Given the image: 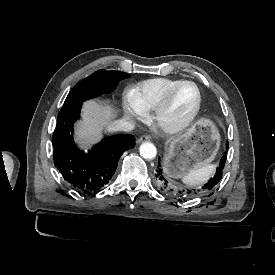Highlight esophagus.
<instances>
[{
    "instance_id": "esophagus-1",
    "label": "esophagus",
    "mask_w": 275,
    "mask_h": 275,
    "mask_svg": "<svg viewBox=\"0 0 275 275\" xmlns=\"http://www.w3.org/2000/svg\"><path fill=\"white\" fill-rule=\"evenodd\" d=\"M139 142H145V141H150V136L149 135H143L142 137L139 138Z\"/></svg>"
}]
</instances>
